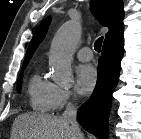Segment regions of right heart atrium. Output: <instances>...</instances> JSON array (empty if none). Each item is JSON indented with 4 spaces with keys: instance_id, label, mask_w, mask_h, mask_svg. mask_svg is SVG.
<instances>
[{
    "instance_id": "right-heart-atrium-1",
    "label": "right heart atrium",
    "mask_w": 141,
    "mask_h": 139,
    "mask_svg": "<svg viewBox=\"0 0 141 139\" xmlns=\"http://www.w3.org/2000/svg\"><path fill=\"white\" fill-rule=\"evenodd\" d=\"M74 93L69 89L61 86H55L53 95L52 110H61L71 105L75 101Z\"/></svg>"
}]
</instances>
